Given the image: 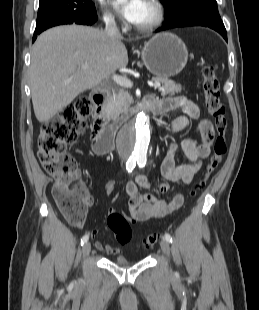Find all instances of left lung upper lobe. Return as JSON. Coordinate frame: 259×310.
<instances>
[{
    "label": "left lung upper lobe",
    "mask_w": 259,
    "mask_h": 310,
    "mask_svg": "<svg viewBox=\"0 0 259 310\" xmlns=\"http://www.w3.org/2000/svg\"><path fill=\"white\" fill-rule=\"evenodd\" d=\"M167 12L164 25L192 18L221 20L216 0H161Z\"/></svg>",
    "instance_id": "1"
}]
</instances>
